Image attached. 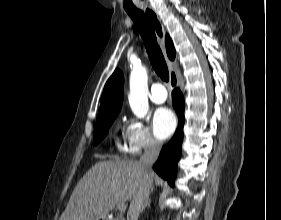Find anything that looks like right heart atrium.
<instances>
[{
	"mask_svg": "<svg viewBox=\"0 0 281 220\" xmlns=\"http://www.w3.org/2000/svg\"><path fill=\"white\" fill-rule=\"evenodd\" d=\"M126 146L132 153L153 150L160 147V141L142 121L131 120L125 129Z\"/></svg>",
	"mask_w": 281,
	"mask_h": 220,
	"instance_id": "1",
	"label": "right heart atrium"
}]
</instances>
